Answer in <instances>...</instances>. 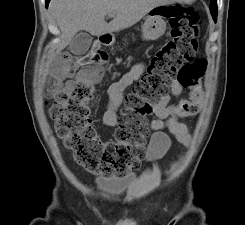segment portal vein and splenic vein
I'll list each match as a JSON object with an SVG mask.
<instances>
[{
	"label": "portal vein and splenic vein",
	"instance_id": "obj_1",
	"mask_svg": "<svg viewBox=\"0 0 245 225\" xmlns=\"http://www.w3.org/2000/svg\"><path fill=\"white\" fill-rule=\"evenodd\" d=\"M115 15L114 14H108V17H110V18H112V17H114Z\"/></svg>",
	"mask_w": 245,
	"mask_h": 225
}]
</instances>
